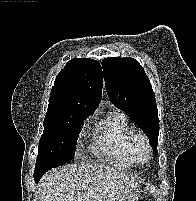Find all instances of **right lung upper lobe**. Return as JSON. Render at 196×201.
<instances>
[{
    "label": "right lung upper lobe",
    "mask_w": 196,
    "mask_h": 201,
    "mask_svg": "<svg viewBox=\"0 0 196 201\" xmlns=\"http://www.w3.org/2000/svg\"><path fill=\"white\" fill-rule=\"evenodd\" d=\"M102 84V68L97 61L73 58L54 82L45 117L71 111H83L91 115L101 100Z\"/></svg>",
    "instance_id": "1"
}]
</instances>
